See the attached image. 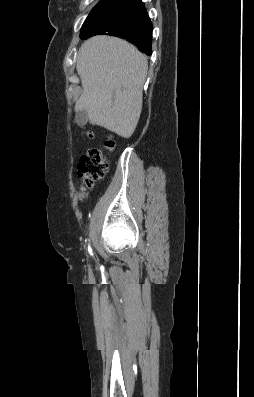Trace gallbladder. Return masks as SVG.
Returning a JSON list of instances; mask_svg holds the SVG:
<instances>
[{"label":"gallbladder","instance_id":"1","mask_svg":"<svg viewBox=\"0 0 254 397\" xmlns=\"http://www.w3.org/2000/svg\"><path fill=\"white\" fill-rule=\"evenodd\" d=\"M88 120V113L86 110L76 112L75 121L79 126H84Z\"/></svg>","mask_w":254,"mask_h":397}]
</instances>
